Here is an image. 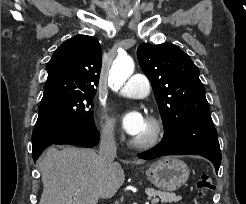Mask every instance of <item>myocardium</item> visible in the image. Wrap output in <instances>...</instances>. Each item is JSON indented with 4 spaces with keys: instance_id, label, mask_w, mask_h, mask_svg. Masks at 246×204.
I'll return each mask as SVG.
<instances>
[{
    "instance_id": "f54148a6",
    "label": "myocardium",
    "mask_w": 246,
    "mask_h": 204,
    "mask_svg": "<svg viewBox=\"0 0 246 204\" xmlns=\"http://www.w3.org/2000/svg\"><path fill=\"white\" fill-rule=\"evenodd\" d=\"M146 121L150 123L152 131L145 139L132 138L130 143L138 149H150L155 147L162 139L164 134V125L160 118L154 115H149Z\"/></svg>"
}]
</instances>
